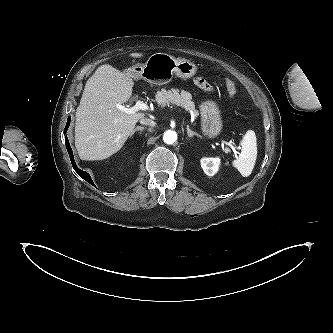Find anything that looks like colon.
<instances>
[{"label": "colon", "instance_id": "obj_1", "mask_svg": "<svg viewBox=\"0 0 333 333\" xmlns=\"http://www.w3.org/2000/svg\"><path fill=\"white\" fill-rule=\"evenodd\" d=\"M225 88L231 97H234L236 95L237 93L236 85L231 79H226Z\"/></svg>", "mask_w": 333, "mask_h": 333}]
</instances>
